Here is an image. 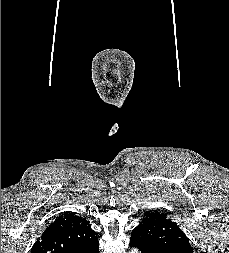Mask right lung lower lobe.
Returning a JSON list of instances; mask_svg holds the SVG:
<instances>
[{"mask_svg":"<svg viewBox=\"0 0 229 253\" xmlns=\"http://www.w3.org/2000/svg\"><path fill=\"white\" fill-rule=\"evenodd\" d=\"M79 253H99V245L98 242L91 247L81 250Z\"/></svg>","mask_w":229,"mask_h":253,"instance_id":"1","label":"right lung lower lobe"}]
</instances>
